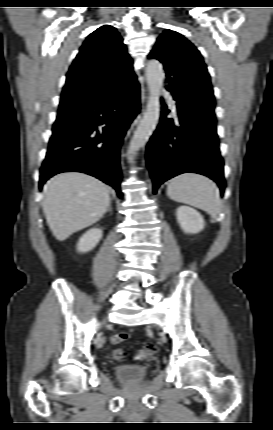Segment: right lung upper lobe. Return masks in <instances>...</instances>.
I'll return each instance as SVG.
<instances>
[{
	"label": "right lung upper lobe",
	"mask_w": 273,
	"mask_h": 430,
	"mask_svg": "<svg viewBox=\"0 0 273 430\" xmlns=\"http://www.w3.org/2000/svg\"><path fill=\"white\" fill-rule=\"evenodd\" d=\"M136 84L122 38L114 27L104 25L86 38L70 66L59 107L86 108L109 93Z\"/></svg>",
	"instance_id": "right-lung-upper-lobe-1"
}]
</instances>
